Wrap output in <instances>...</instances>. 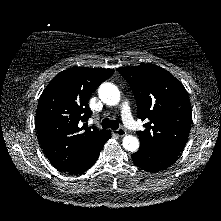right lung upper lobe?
<instances>
[{
	"mask_svg": "<svg viewBox=\"0 0 221 221\" xmlns=\"http://www.w3.org/2000/svg\"><path fill=\"white\" fill-rule=\"evenodd\" d=\"M113 69L73 67L56 75L38 102L39 142L52 165L63 171L81 158L107 130L82 126L91 115L88 100Z\"/></svg>",
	"mask_w": 221,
	"mask_h": 221,
	"instance_id": "cb5924a9",
	"label": "right lung upper lobe"
}]
</instances>
